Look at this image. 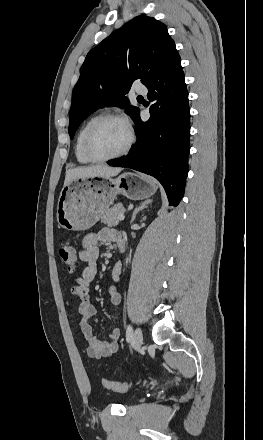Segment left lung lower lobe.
Segmentation results:
<instances>
[{
    "instance_id": "1",
    "label": "left lung lower lobe",
    "mask_w": 263,
    "mask_h": 440,
    "mask_svg": "<svg viewBox=\"0 0 263 440\" xmlns=\"http://www.w3.org/2000/svg\"><path fill=\"white\" fill-rule=\"evenodd\" d=\"M151 117L136 122L137 142L127 156L108 161L111 166L131 168L155 177L164 187L170 205L183 197L188 174L190 109L179 54L145 85Z\"/></svg>"
}]
</instances>
